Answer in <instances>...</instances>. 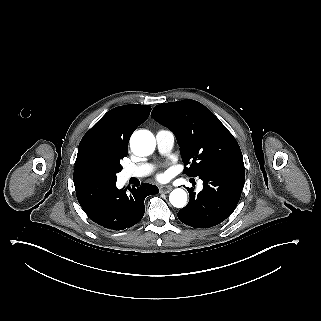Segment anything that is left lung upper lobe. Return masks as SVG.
<instances>
[{"instance_id": "5c2ea615", "label": "left lung upper lobe", "mask_w": 321, "mask_h": 321, "mask_svg": "<svg viewBox=\"0 0 321 321\" xmlns=\"http://www.w3.org/2000/svg\"><path fill=\"white\" fill-rule=\"evenodd\" d=\"M152 117L176 136L185 165L196 177L204 169L231 160H243L240 147L221 121L204 105L182 100L156 106Z\"/></svg>"}]
</instances>
